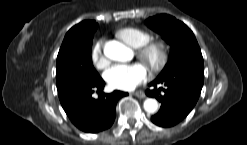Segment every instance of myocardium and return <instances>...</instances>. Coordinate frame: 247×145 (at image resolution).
<instances>
[{"label":"myocardium","instance_id":"obj_1","mask_svg":"<svg viewBox=\"0 0 247 145\" xmlns=\"http://www.w3.org/2000/svg\"><path fill=\"white\" fill-rule=\"evenodd\" d=\"M138 57L152 71H159L166 61L167 48L162 42L147 43L138 51Z\"/></svg>","mask_w":247,"mask_h":145}]
</instances>
